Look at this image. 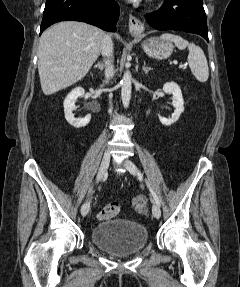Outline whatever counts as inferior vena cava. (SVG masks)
Listing matches in <instances>:
<instances>
[{
  "label": "inferior vena cava",
  "mask_w": 240,
  "mask_h": 287,
  "mask_svg": "<svg viewBox=\"0 0 240 287\" xmlns=\"http://www.w3.org/2000/svg\"><path fill=\"white\" fill-rule=\"evenodd\" d=\"M101 50H102V55L107 57V60L105 61V64H106L105 77H106V82H107L111 77H113V74H114V66L111 60L113 57V42L109 34H106L104 36ZM109 98L111 99L112 95H109ZM111 112H112V106L109 109V113Z\"/></svg>",
  "instance_id": "602c4592"
}]
</instances>
